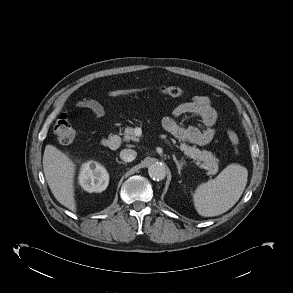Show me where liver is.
<instances>
[{
    "instance_id": "1",
    "label": "liver",
    "mask_w": 293,
    "mask_h": 293,
    "mask_svg": "<svg viewBox=\"0 0 293 293\" xmlns=\"http://www.w3.org/2000/svg\"><path fill=\"white\" fill-rule=\"evenodd\" d=\"M45 178L57 201L75 212L74 177L76 165L67 154L53 145H46L43 155Z\"/></svg>"
}]
</instances>
